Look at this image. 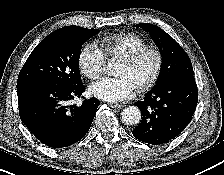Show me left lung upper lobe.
Here are the masks:
<instances>
[{"label": "left lung upper lobe", "mask_w": 224, "mask_h": 175, "mask_svg": "<svg viewBox=\"0 0 224 175\" xmlns=\"http://www.w3.org/2000/svg\"><path fill=\"white\" fill-rule=\"evenodd\" d=\"M149 33L162 56V69L156 86L178 76L193 75L191 61L184 49L159 27L140 23L136 25Z\"/></svg>", "instance_id": "obj_1"}]
</instances>
